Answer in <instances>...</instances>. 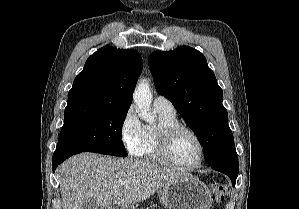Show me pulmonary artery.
I'll return each instance as SVG.
<instances>
[{
    "label": "pulmonary artery",
    "mask_w": 299,
    "mask_h": 209,
    "mask_svg": "<svg viewBox=\"0 0 299 209\" xmlns=\"http://www.w3.org/2000/svg\"><path fill=\"white\" fill-rule=\"evenodd\" d=\"M153 106L156 110L160 112L166 114H175V108L173 104L164 96H156L153 101Z\"/></svg>",
    "instance_id": "e3ab8cb5"
}]
</instances>
